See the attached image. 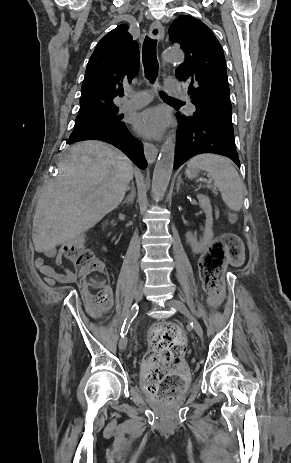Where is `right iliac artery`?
<instances>
[{
	"label": "right iliac artery",
	"mask_w": 291,
	"mask_h": 463,
	"mask_svg": "<svg viewBox=\"0 0 291 463\" xmlns=\"http://www.w3.org/2000/svg\"><path fill=\"white\" fill-rule=\"evenodd\" d=\"M138 305L137 304H134L129 312V314L127 315L123 325H122V328H121V337L123 338L127 332H128V328L130 326V323L133 321V319L137 316L138 314Z\"/></svg>",
	"instance_id": "82829eb1"
}]
</instances>
